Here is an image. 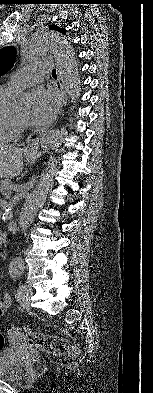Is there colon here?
Returning a JSON list of instances; mask_svg holds the SVG:
<instances>
[{"label":"colon","instance_id":"5ec220e1","mask_svg":"<svg viewBox=\"0 0 153 393\" xmlns=\"http://www.w3.org/2000/svg\"><path fill=\"white\" fill-rule=\"evenodd\" d=\"M0 308H5V304L0 302ZM12 328L13 334H16ZM23 335L27 338L28 343L31 346L40 348L48 354L54 356H66L69 358H75L79 354L77 346L69 344L63 338L57 336L46 335L38 332L25 331ZM6 339L5 336L0 333V351L5 348Z\"/></svg>","mask_w":153,"mask_h":393}]
</instances>
